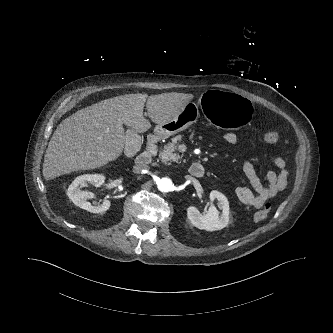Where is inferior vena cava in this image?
Instances as JSON below:
<instances>
[{
	"label": "inferior vena cava",
	"mask_w": 333,
	"mask_h": 333,
	"mask_svg": "<svg viewBox=\"0 0 333 333\" xmlns=\"http://www.w3.org/2000/svg\"><path fill=\"white\" fill-rule=\"evenodd\" d=\"M148 169V166L145 165V164H136L134 167H133V172L134 173H140L144 170H147Z\"/></svg>",
	"instance_id": "602c4592"
}]
</instances>
